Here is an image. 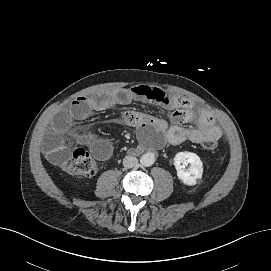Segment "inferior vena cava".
<instances>
[{
  "label": "inferior vena cava",
  "mask_w": 271,
  "mask_h": 271,
  "mask_svg": "<svg viewBox=\"0 0 271 271\" xmlns=\"http://www.w3.org/2000/svg\"><path fill=\"white\" fill-rule=\"evenodd\" d=\"M123 166L125 168H133L138 166V159L134 156H126L123 159Z\"/></svg>",
  "instance_id": "602c4592"
}]
</instances>
